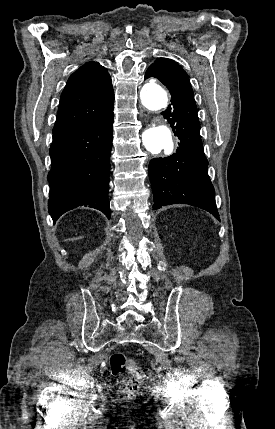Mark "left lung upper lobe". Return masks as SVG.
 <instances>
[{
	"label": "left lung upper lobe",
	"mask_w": 275,
	"mask_h": 429,
	"mask_svg": "<svg viewBox=\"0 0 275 429\" xmlns=\"http://www.w3.org/2000/svg\"><path fill=\"white\" fill-rule=\"evenodd\" d=\"M147 71L161 77L165 81H185L190 84L187 73L171 59L159 58Z\"/></svg>",
	"instance_id": "5c2ea615"
}]
</instances>
